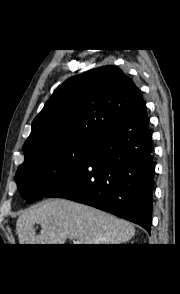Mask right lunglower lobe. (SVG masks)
I'll return each instance as SVG.
<instances>
[{
	"instance_id": "98d812e1",
	"label": "right lung lower lobe",
	"mask_w": 180,
	"mask_h": 294,
	"mask_svg": "<svg viewBox=\"0 0 180 294\" xmlns=\"http://www.w3.org/2000/svg\"><path fill=\"white\" fill-rule=\"evenodd\" d=\"M145 102L101 135L78 170L46 197L66 198L152 224L154 163Z\"/></svg>"
}]
</instances>
